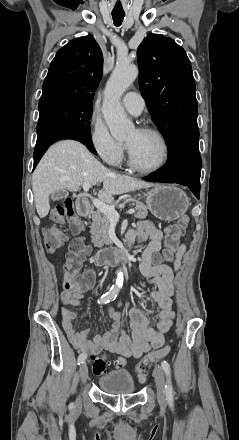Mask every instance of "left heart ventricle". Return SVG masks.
<instances>
[{"instance_id":"1","label":"left heart ventricle","mask_w":239,"mask_h":440,"mask_svg":"<svg viewBox=\"0 0 239 440\" xmlns=\"http://www.w3.org/2000/svg\"><path fill=\"white\" fill-rule=\"evenodd\" d=\"M125 141L140 167L152 169L162 161L164 154L163 145L156 136L135 129L128 135Z\"/></svg>"}]
</instances>
